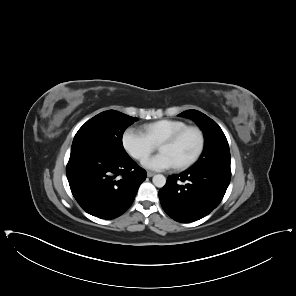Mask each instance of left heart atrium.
Instances as JSON below:
<instances>
[{
	"label": "left heart atrium",
	"instance_id": "39dd6f15",
	"mask_svg": "<svg viewBox=\"0 0 296 296\" xmlns=\"http://www.w3.org/2000/svg\"><path fill=\"white\" fill-rule=\"evenodd\" d=\"M175 163L166 153L158 154L145 162L147 167L154 170H166L173 167Z\"/></svg>",
	"mask_w": 296,
	"mask_h": 296
}]
</instances>
